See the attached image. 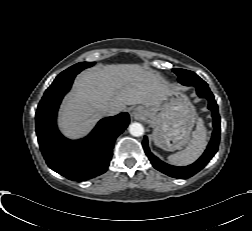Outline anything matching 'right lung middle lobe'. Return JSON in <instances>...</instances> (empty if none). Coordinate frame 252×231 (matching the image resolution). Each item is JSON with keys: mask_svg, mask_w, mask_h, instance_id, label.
I'll return each mask as SVG.
<instances>
[{"mask_svg": "<svg viewBox=\"0 0 252 231\" xmlns=\"http://www.w3.org/2000/svg\"><path fill=\"white\" fill-rule=\"evenodd\" d=\"M95 64V62H80L77 63L73 66H71L70 68L66 69L65 71H63L62 73H60L56 79L54 80V82L65 79L70 77L71 75L74 74H78L80 71H82L85 68L91 67Z\"/></svg>", "mask_w": 252, "mask_h": 231, "instance_id": "obj_1", "label": "right lung middle lobe"}]
</instances>
